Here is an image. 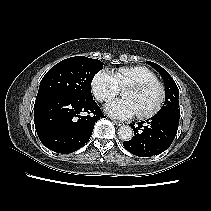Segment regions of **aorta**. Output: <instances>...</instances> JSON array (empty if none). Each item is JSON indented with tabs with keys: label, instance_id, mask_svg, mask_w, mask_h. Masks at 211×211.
Segmentation results:
<instances>
[{
	"label": "aorta",
	"instance_id": "obj_1",
	"mask_svg": "<svg viewBox=\"0 0 211 211\" xmlns=\"http://www.w3.org/2000/svg\"><path fill=\"white\" fill-rule=\"evenodd\" d=\"M118 136L123 141H129L133 137V130L130 126H121L118 129Z\"/></svg>",
	"mask_w": 211,
	"mask_h": 211
}]
</instances>
